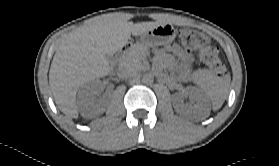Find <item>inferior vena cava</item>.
Wrapping results in <instances>:
<instances>
[{
  "label": "inferior vena cava",
  "instance_id": "obj_1",
  "mask_svg": "<svg viewBox=\"0 0 279 166\" xmlns=\"http://www.w3.org/2000/svg\"><path fill=\"white\" fill-rule=\"evenodd\" d=\"M135 74H136V70L133 68H125L120 72V76L123 79L131 78L135 76Z\"/></svg>",
  "mask_w": 279,
  "mask_h": 166
}]
</instances>
